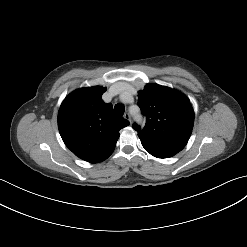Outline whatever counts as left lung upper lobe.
I'll return each instance as SVG.
<instances>
[{
	"instance_id": "1",
	"label": "left lung upper lobe",
	"mask_w": 247,
	"mask_h": 247,
	"mask_svg": "<svg viewBox=\"0 0 247 247\" xmlns=\"http://www.w3.org/2000/svg\"><path fill=\"white\" fill-rule=\"evenodd\" d=\"M138 105L146 118L144 128L136 123L143 147L174 156L187 144L194 123L190 101L181 92L158 84H147L138 92Z\"/></svg>"
}]
</instances>
